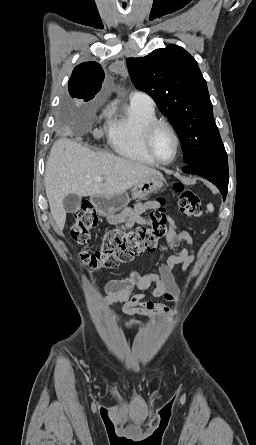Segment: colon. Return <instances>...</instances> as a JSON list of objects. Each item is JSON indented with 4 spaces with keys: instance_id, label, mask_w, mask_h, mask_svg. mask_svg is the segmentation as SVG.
<instances>
[{
    "instance_id": "5ec220e1",
    "label": "colon",
    "mask_w": 256,
    "mask_h": 445,
    "mask_svg": "<svg viewBox=\"0 0 256 445\" xmlns=\"http://www.w3.org/2000/svg\"><path fill=\"white\" fill-rule=\"evenodd\" d=\"M174 190L179 193L178 206L184 216L199 217L202 214V202L196 193L185 189L181 183H175ZM157 202L159 205L149 213L146 224L129 231H108L99 250L80 253L82 261L93 270L113 268L118 263L129 262L145 252L154 251L167 232V218L162 207L164 199ZM98 221L93 204L84 202L74 213L70 237L77 245H85L89 241L90 230L98 225Z\"/></svg>"
}]
</instances>
